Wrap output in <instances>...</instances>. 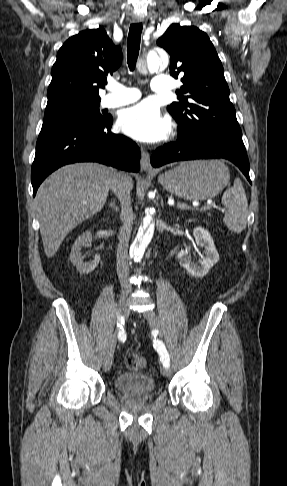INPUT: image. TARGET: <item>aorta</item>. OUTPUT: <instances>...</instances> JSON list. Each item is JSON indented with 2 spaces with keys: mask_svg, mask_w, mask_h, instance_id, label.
Wrapping results in <instances>:
<instances>
[{
  "mask_svg": "<svg viewBox=\"0 0 287 486\" xmlns=\"http://www.w3.org/2000/svg\"><path fill=\"white\" fill-rule=\"evenodd\" d=\"M168 57H160L157 53H150L147 56V67L149 71H156L161 66H166ZM155 224L152 215L147 214L139 227L137 235L130 247V257L138 261L143 256L145 249L151 242L154 235Z\"/></svg>",
  "mask_w": 287,
  "mask_h": 486,
  "instance_id": "obj_1",
  "label": "aorta"
}]
</instances>
